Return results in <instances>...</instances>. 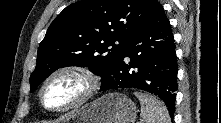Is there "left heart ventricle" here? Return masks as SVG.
<instances>
[{
	"label": "left heart ventricle",
	"mask_w": 221,
	"mask_h": 123,
	"mask_svg": "<svg viewBox=\"0 0 221 123\" xmlns=\"http://www.w3.org/2000/svg\"><path fill=\"white\" fill-rule=\"evenodd\" d=\"M84 81L75 74H62L54 78L44 91V101L50 107L65 106L83 92Z\"/></svg>",
	"instance_id": "obj_1"
}]
</instances>
